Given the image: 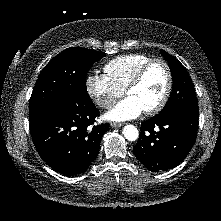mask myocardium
Instances as JSON below:
<instances>
[{
  "label": "myocardium",
  "instance_id": "f54148a6",
  "mask_svg": "<svg viewBox=\"0 0 221 221\" xmlns=\"http://www.w3.org/2000/svg\"><path fill=\"white\" fill-rule=\"evenodd\" d=\"M155 64H160L164 67L165 72H166L167 82H166L164 93L161 99L159 100V102L152 108L143 111L144 114L146 115H154L158 113L159 111H161L162 108L166 105L170 97L172 87H173V76H172V71H171L169 64L160 58H154V59L149 60L136 71V73L133 75V77L131 78V80L129 81V83L127 84L124 90L125 94L128 95L129 91L135 88L141 82L142 78L144 77L146 72L149 70V68Z\"/></svg>",
  "mask_w": 221,
  "mask_h": 221
}]
</instances>
